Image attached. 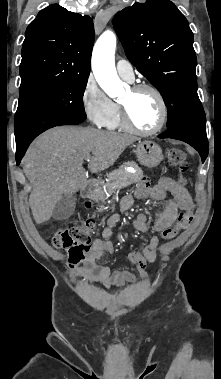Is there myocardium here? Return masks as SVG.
I'll return each instance as SVG.
<instances>
[{
    "instance_id": "1",
    "label": "myocardium",
    "mask_w": 221,
    "mask_h": 379,
    "mask_svg": "<svg viewBox=\"0 0 221 379\" xmlns=\"http://www.w3.org/2000/svg\"><path fill=\"white\" fill-rule=\"evenodd\" d=\"M130 90L133 93L149 91L156 97L158 101V105H159V111H160L159 120L157 124L151 129H148V130L140 129L132 123L127 107L124 104L120 103L119 110H120V119H121L122 127L128 130L129 132H132L134 134L141 135V136H150V135H154L160 132L165 126L167 118H168L167 104L161 91L155 86L150 85V84H137L131 87Z\"/></svg>"
}]
</instances>
